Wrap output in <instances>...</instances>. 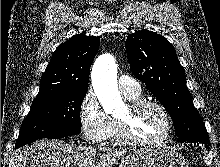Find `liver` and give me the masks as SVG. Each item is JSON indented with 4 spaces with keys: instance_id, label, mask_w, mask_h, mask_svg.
Wrapping results in <instances>:
<instances>
[{
    "instance_id": "6515ba94",
    "label": "liver",
    "mask_w": 220,
    "mask_h": 167,
    "mask_svg": "<svg viewBox=\"0 0 220 167\" xmlns=\"http://www.w3.org/2000/svg\"><path fill=\"white\" fill-rule=\"evenodd\" d=\"M124 150L41 139L18 149L15 167H112Z\"/></svg>"
}]
</instances>
